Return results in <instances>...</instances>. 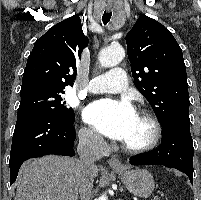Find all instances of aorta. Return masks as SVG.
<instances>
[{
  "mask_svg": "<svg viewBox=\"0 0 201 200\" xmlns=\"http://www.w3.org/2000/svg\"><path fill=\"white\" fill-rule=\"evenodd\" d=\"M125 57V51L121 46L107 47L99 54V63L102 67H113L118 65ZM97 200H108L104 194Z\"/></svg>",
  "mask_w": 201,
  "mask_h": 200,
  "instance_id": "aorta-1",
  "label": "aorta"
}]
</instances>
